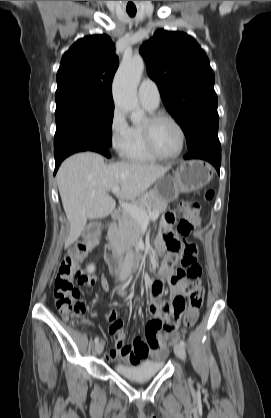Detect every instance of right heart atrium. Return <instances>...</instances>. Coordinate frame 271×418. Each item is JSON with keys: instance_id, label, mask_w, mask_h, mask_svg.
<instances>
[{"instance_id": "d8ad5b80", "label": "right heart atrium", "mask_w": 271, "mask_h": 418, "mask_svg": "<svg viewBox=\"0 0 271 418\" xmlns=\"http://www.w3.org/2000/svg\"><path fill=\"white\" fill-rule=\"evenodd\" d=\"M129 129L124 113L115 107L110 118L109 132L111 146L116 152H123L128 141Z\"/></svg>"}]
</instances>
